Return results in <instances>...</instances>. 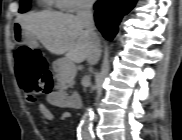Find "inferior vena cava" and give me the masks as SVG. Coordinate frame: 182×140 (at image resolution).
I'll list each match as a JSON object with an SVG mask.
<instances>
[{
	"instance_id": "1",
	"label": "inferior vena cava",
	"mask_w": 182,
	"mask_h": 140,
	"mask_svg": "<svg viewBox=\"0 0 182 140\" xmlns=\"http://www.w3.org/2000/svg\"><path fill=\"white\" fill-rule=\"evenodd\" d=\"M93 4L92 0H82L77 10V19L82 23L90 37L91 47L87 58L90 65L97 64L101 55L100 40L95 31L93 20Z\"/></svg>"
}]
</instances>
